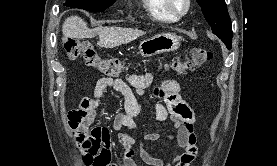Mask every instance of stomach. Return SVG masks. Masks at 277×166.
Listing matches in <instances>:
<instances>
[{
	"label": "stomach",
	"instance_id": "stomach-1",
	"mask_svg": "<svg viewBox=\"0 0 277 166\" xmlns=\"http://www.w3.org/2000/svg\"><path fill=\"white\" fill-rule=\"evenodd\" d=\"M180 46V38L174 33H160L143 40L139 45V53L143 57L175 51Z\"/></svg>",
	"mask_w": 277,
	"mask_h": 166
}]
</instances>
